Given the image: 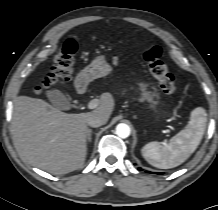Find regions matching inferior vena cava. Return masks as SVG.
<instances>
[{"instance_id":"1","label":"inferior vena cava","mask_w":218,"mask_h":210,"mask_svg":"<svg viewBox=\"0 0 218 210\" xmlns=\"http://www.w3.org/2000/svg\"><path fill=\"white\" fill-rule=\"evenodd\" d=\"M106 122L107 121L101 116L93 115L88 119L87 124L91 127H100L104 125Z\"/></svg>"}]
</instances>
